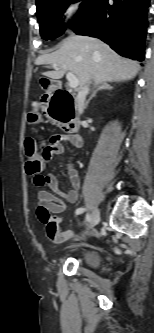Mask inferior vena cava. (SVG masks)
<instances>
[{"label":"inferior vena cava","instance_id":"obj_1","mask_svg":"<svg viewBox=\"0 0 154 333\" xmlns=\"http://www.w3.org/2000/svg\"><path fill=\"white\" fill-rule=\"evenodd\" d=\"M89 81L87 82L86 85H84L83 87L80 88V90L77 94V97H76V106H77L78 111L80 113L83 112L84 105H85V98H86V95L89 92V86H88Z\"/></svg>","mask_w":154,"mask_h":333}]
</instances>
